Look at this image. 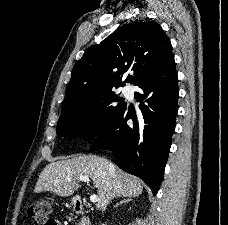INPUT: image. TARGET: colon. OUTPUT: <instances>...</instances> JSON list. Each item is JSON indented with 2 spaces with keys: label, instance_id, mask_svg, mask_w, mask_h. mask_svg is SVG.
Returning a JSON list of instances; mask_svg holds the SVG:
<instances>
[{
  "label": "colon",
  "instance_id": "5ec220e1",
  "mask_svg": "<svg viewBox=\"0 0 228 225\" xmlns=\"http://www.w3.org/2000/svg\"><path fill=\"white\" fill-rule=\"evenodd\" d=\"M28 215L34 218L38 225H57L50 218V203L46 200H34L29 203L27 209Z\"/></svg>",
  "mask_w": 228,
  "mask_h": 225
}]
</instances>
